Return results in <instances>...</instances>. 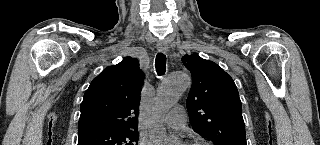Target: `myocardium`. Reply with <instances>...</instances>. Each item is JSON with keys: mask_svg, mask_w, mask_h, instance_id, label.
I'll list each match as a JSON object with an SVG mask.
<instances>
[{"mask_svg": "<svg viewBox=\"0 0 320 145\" xmlns=\"http://www.w3.org/2000/svg\"><path fill=\"white\" fill-rule=\"evenodd\" d=\"M187 145H208V143H206L204 141H200V140H193V141L187 143Z\"/></svg>", "mask_w": 320, "mask_h": 145, "instance_id": "obj_1", "label": "myocardium"}]
</instances>
